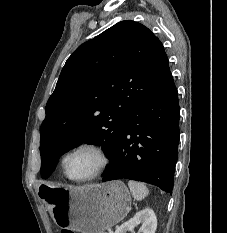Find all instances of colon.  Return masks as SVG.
Returning a JSON list of instances; mask_svg holds the SVG:
<instances>
[{
    "label": "colon",
    "instance_id": "colon-1",
    "mask_svg": "<svg viewBox=\"0 0 227 233\" xmlns=\"http://www.w3.org/2000/svg\"><path fill=\"white\" fill-rule=\"evenodd\" d=\"M61 233H74V232L70 230H62Z\"/></svg>",
    "mask_w": 227,
    "mask_h": 233
}]
</instances>
